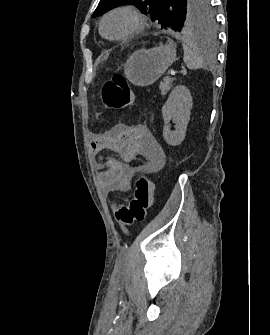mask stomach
<instances>
[{
	"instance_id": "obj_1",
	"label": "stomach",
	"mask_w": 270,
	"mask_h": 335,
	"mask_svg": "<svg viewBox=\"0 0 270 335\" xmlns=\"http://www.w3.org/2000/svg\"><path fill=\"white\" fill-rule=\"evenodd\" d=\"M176 60V44H160L157 48H141L128 56L124 64V74L134 86H151Z\"/></svg>"
}]
</instances>
